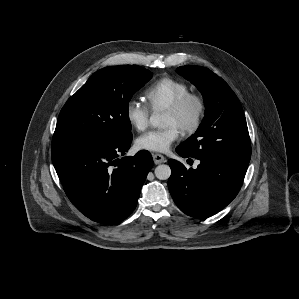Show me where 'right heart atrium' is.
I'll list each match as a JSON object with an SVG mask.
<instances>
[{"instance_id":"d8ad5b80","label":"right heart atrium","mask_w":299,"mask_h":299,"mask_svg":"<svg viewBox=\"0 0 299 299\" xmlns=\"http://www.w3.org/2000/svg\"><path fill=\"white\" fill-rule=\"evenodd\" d=\"M125 117L134 129L143 131L148 127L150 110L138 100L130 99L125 105Z\"/></svg>"}]
</instances>
